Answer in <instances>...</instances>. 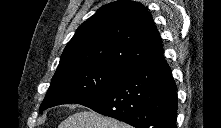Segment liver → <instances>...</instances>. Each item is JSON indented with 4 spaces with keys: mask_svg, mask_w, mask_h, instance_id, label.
Instances as JSON below:
<instances>
[{
    "mask_svg": "<svg viewBox=\"0 0 221 128\" xmlns=\"http://www.w3.org/2000/svg\"><path fill=\"white\" fill-rule=\"evenodd\" d=\"M58 128H131L116 119L105 117L94 111H81L70 115Z\"/></svg>",
    "mask_w": 221,
    "mask_h": 128,
    "instance_id": "obj_1",
    "label": "liver"
}]
</instances>
